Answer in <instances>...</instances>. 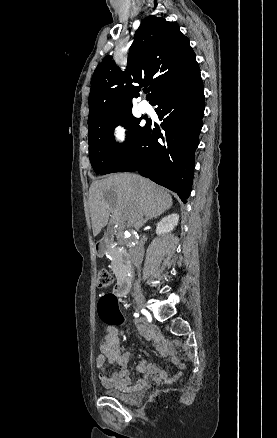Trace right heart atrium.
<instances>
[{"mask_svg": "<svg viewBox=\"0 0 277 438\" xmlns=\"http://www.w3.org/2000/svg\"><path fill=\"white\" fill-rule=\"evenodd\" d=\"M115 136L118 140H123L125 138V129L122 126H117L115 128Z\"/></svg>", "mask_w": 277, "mask_h": 438, "instance_id": "1", "label": "right heart atrium"}]
</instances>
